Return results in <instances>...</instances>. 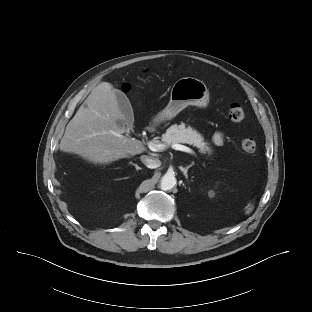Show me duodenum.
<instances>
[{"label":"duodenum","mask_w":312,"mask_h":312,"mask_svg":"<svg viewBox=\"0 0 312 312\" xmlns=\"http://www.w3.org/2000/svg\"><path fill=\"white\" fill-rule=\"evenodd\" d=\"M147 131H151V127H149V128L147 129Z\"/></svg>","instance_id":"duodenum-1"}]
</instances>
